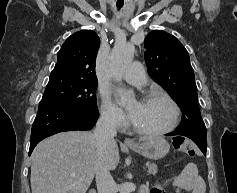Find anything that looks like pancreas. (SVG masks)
<instances>
[{"label": "pancreas", "mask_w": 237, "mask_h": 193, "mask_svg": "<svg viewBox=\"0 0 237 193\" xmlns=\"http://www.w3.org/2000/svg\"><path fill=\"white\" fill-rule=\"evenodd\" d=\"M146 168L148 169L149 173H153V174L156 173L158 170L157 165L153 162H147Z\"/></svg>", "instance_id": "1"}]
</instances>
